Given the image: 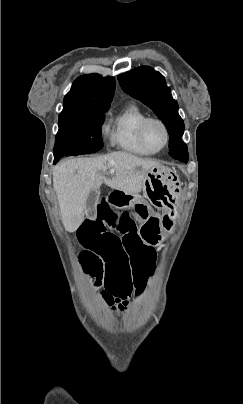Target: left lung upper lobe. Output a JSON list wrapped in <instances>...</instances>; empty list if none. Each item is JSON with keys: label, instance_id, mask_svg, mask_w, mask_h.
<instances>
[{"label": "left lung upper lobe", "instance_id": "5c2ea615", "mask_svg": "<svg viewBox=\"0 0 243 404\" xmlns=\"http://www.w3.org/2000/svg\"><path fill=\"white\" fill-rule=\"evenodd\" d=\"M118 80L124 92L150 107L165 124L170 135L169 155L177 160L189 159L187 145L181 139L184 122L164 77L153 68L143 66L119 75Z\"/></svg>", "mask_w": 243, "mask_h": 404}]
</instances>
